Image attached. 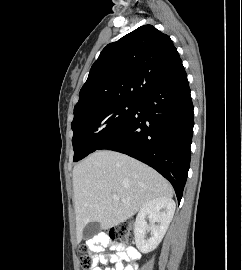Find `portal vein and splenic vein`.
<instances>
[{
	"label": "portal vein and splenic vein",
	"instance_id": "1",
	"mask_svg": "<svg viewBox=\"0 0 242 270\" xmlns=\"http://www.w3.org/2000/svg\"><path fill=\"white\" fill-rule=\"evenodd\" d=\"M113 199L118 200L119 197L117 195H113Z\"/></svg>",
	"mask_w": 242,
	"mask_h": 270
}]
</instances>
